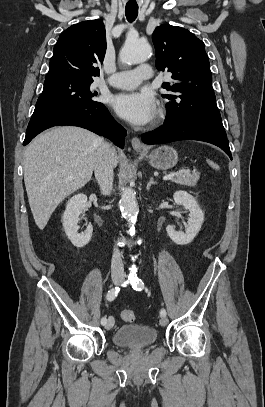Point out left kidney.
Segmentation results:
<instances>
[{
	"label": "left kidney",
	"mask_w": 265,
	"mask_h": 407,
	"mask_svg": "<svg viewBox=\"0 0 265 407\" xmlns=\"http://www.w3.org/2000/svg\"><path fill=\"white\" fill-rule=\"evenodd\" d=\"M173 198L177 205H182L189 211L188 226L185 233L177 232L171 225L167 226L166 231L174 243L178 245H187L194 240L200 231L204 221V214L197 201L189 193L185 191H177L174 193Z\"/></svg>",
	"instance_id": "obj_1"
}]
</instances>
